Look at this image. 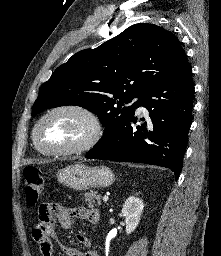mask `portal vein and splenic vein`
<instances>
[{"instance_id": "portal-vein-and-splenic-vein-1", "label": "portal vein and splenic vein", "mask_w": 221, "mask_h": 256, "mask_svg": "<svg viewBox=\"0 0 221 256\" xmlns=\"http://www.w3.org/2000/svg\"><path fill=\"white\" fill-rule=\"evenodd\" d=\"M108 199H109V197H108L107 195H104V196H103V201H104V202H107Z\"/></svg>"}]
</instances>
